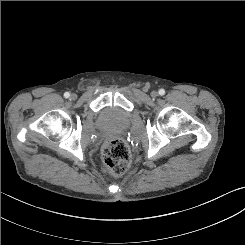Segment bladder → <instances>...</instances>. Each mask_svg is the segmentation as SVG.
I'll use <instances>...</instances> for the list:
<instances>
[{
  "mask_svg": "<svg viewBox=\"0 0 245 245\" xmlns=\"http://www.w3.org/2000/svg\"><path fill=\"white\" fill-rule=\"evenodd\" d=\"M129 126V113L114 107L102 110L97 120V127L102 131H124Z\"/></svg>",
  "mask_w": 245,
  "mask_h": 245,
  "instance_id": "bladder-1",
  "label": "bladder"
}]
</instances>
